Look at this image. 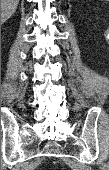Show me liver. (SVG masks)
Wrapping results in <instances>:
<instances>
[{
	"label": "liver",
	"instance_id": "1",
	"mask_svg": "<svg viewBox=\"0 0 109 170\" xmlns=\"http://www.w3.org/2000/svg\"><path fill=\"white\" fill-rule=\"evenodd\" d=\"M19 0H1V22H6L15 13Z\"/></svg>",
	"mask_w": 109,
	"mask_h": 170
}]
</instances>
